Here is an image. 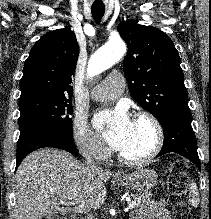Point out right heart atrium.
<instances>
[{
    "instance_id": "d8ad5b80",
    "label": "right heart atrium",
    "mask_w": 211,
    "mask_h": 219,
    "mask_svg": "<svg viewBox=\"0 0 211 219\" xmlns=\"http://www.w3.org/2000/svg\"><path fill=\"white\" fill-rule=\"evenodd\" d=\"M73 140L84 156L101 160L108 153L100 138L88 127L86 121L79 117L73 123Z\"/></svg>"
}]
</instances>
